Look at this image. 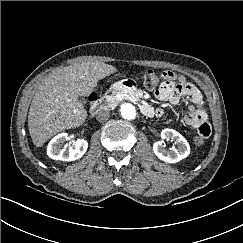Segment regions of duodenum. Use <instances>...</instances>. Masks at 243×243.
I'll list each match as a JSON object with an SVG mask.
<instances>
[{
	"instance_id": "duodenum-1",
	"label": "duodenum",
	"mask_w": 243,
	"mask_h": 243,
	"mask_svg": "<svg viewBox=\"0 0 243 243\" xmlns=\"http://www.w3.org/2000/svg\"><path fill=\"white\" fill-rule=\"evenodd\" d=\"M120 89H125L128 90L135 99H137V94L134 91V87L130 81H124L118 85ZM114 98L112 95H107L103 97L102 99L94 100L92 105H91V113L92 114H97L99 113L102 109L109 107L113 104ZM141 112L148 117H152L155 115V110L147 105V104H142L141 105Z\"/></svg>"
}]
</instances>
